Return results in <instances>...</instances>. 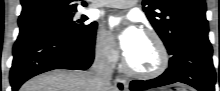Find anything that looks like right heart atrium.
I'll use <instances>...</instances> for the list:
<instances>
[{
    "label": "right heart atrium",
    "mask_w": 220,
    "mask_h": 91,
    "mask_svg": "<svg viewBox=\"0 0 220 91\" xmlns=\"http://www.w3.org/2000/svg\"><path fill=\"white\" fill-rule=\"evenodd\" d=\"M94 49L97 58L106 65H114L118 59V51L114 40L105 31L99 30L95 36Z\"/></svg>",
    "instance_id": "1"
}]
</instances>
